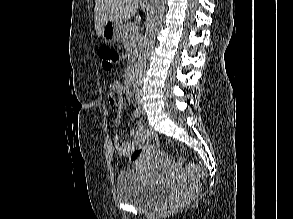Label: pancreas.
<instances>
[{
    "mask_svg": "<svg viewBox=\"0 0 293 219\" xmlns=\"http://www.w3.org/2000/svg\"><path fill=\"white\" fill-rule=\"evenodd\" d=\"M139 33L133 24L128 23L122 36L124 47L130 55V61L134 62L138 54Z\"/></svg>",
    "mask_w": 293,
    "mask_h": 219,
    "instance_id": "obj_1",
    "label": "pancreas"
}]
</instances>
